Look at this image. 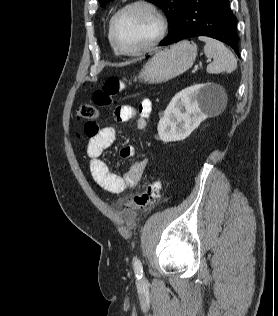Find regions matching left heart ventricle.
I'll return each instance as SVG.
<instances>
[{
  "mask_svg": "<svg viewBox=\"0 0 278 316\" xmlns=\"http://www.w3.org/2000/svg\"><path fill=\"white\" fill-rule=\"evenodd\" d=\"M157 22L146 9L137 7L123 13L116 22L118 44L126 50H135L147 44L156 34Z\"/></svg>",
  "mask_w": 278,
  "mask_h": 316,
  "instance_id": "b2bd125f",
  "label": "left heart ventricle"
}]
</instances>
